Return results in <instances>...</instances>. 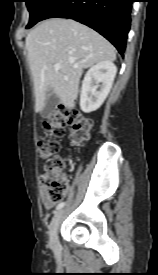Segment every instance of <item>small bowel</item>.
<instances>
[{
  "mask_svg": "<svg viewBox=\"0 0 158 275\" xmlns=\"http://www.w3.org/2000/svg\"><path fill=\"white\" fill-rule=\"evenodd\" d=\"M42 203H43V206H44L46 209H51V208L54 206V204H55V202L49 200V199L45 196V194H42Z\"/></svg>",
  "mask_w": 158,
  "mask_h": 275,
  "instance_id": "1",
  "label": "small bowel"
}]
</instances>
